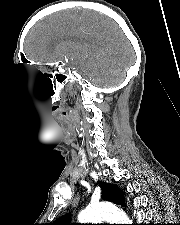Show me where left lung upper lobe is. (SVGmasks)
<instances>
[{"label": "left lung upper lobe", "instance_id": "left-lung-upper-lobe-1", "mask_svg": "<svg viewBox=\"0 0 180 225\" xmlns=\"http://www.w3.org/2000/svg\"><path fill=\"white\" fill-rule=\"evenodd\" d=\"M102 189V199L124 206L122 191L114 184L99 182ZM70 215H64L54 221L51 225H72L69 223Z\"/></svg>", "mask_w": 180, "mask_h": 225}]
</instances>
